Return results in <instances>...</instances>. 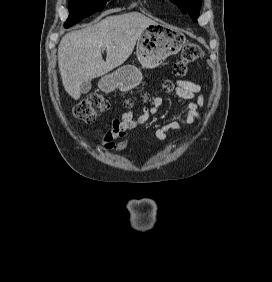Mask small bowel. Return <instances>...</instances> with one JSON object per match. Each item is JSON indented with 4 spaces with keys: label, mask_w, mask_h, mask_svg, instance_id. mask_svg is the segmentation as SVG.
Masks as SVG:
<instances>
[{
    "label": "small bowel",
    "mask_w": 272,
    "mask_h": 282,
    "mask_svg": "<svg viewBox=\"0 0 272 282\" xmlns=\"http://www.w3.org/2000/svg\"><path fill=\"white\" fill-rule=\"evenodd\" d=\"M200 92L201 86L190 81L179 82L176 89L178 97L184 100H190L182 115V120L188 124H194L201 120L200 110L203 107L204 98ZM161 104V98L156 97L151 100L148 107L143 108L142 113L137 117H134L131 111H127L121 116V118L114 119L112 121V129L106 135L108 148L117 152L125 151L128 147V142L123 140L122 142L116 144L114 143V140L125 138L127 130L145 124L151 115L159 112ZM179 128L180 124L178 121H168L156 130L155 135L158 140L165 141L167 138V131L178 130Z\"/></svg>",
    "instance_id": "c3829d8e"
}]
</instances>
